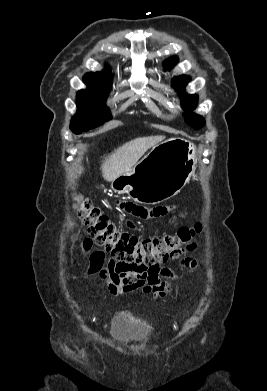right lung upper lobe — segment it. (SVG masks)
<instances>
[{
  "label": "right lung upper lobe",
  "instance_id": "cb5924a9",
  "mask_svg": "<svg viewBox=\"0 0 267 391\" xmlns=\"http://www.w3.org/2000/svg\"><path fill=\"white\" fill-rule=\"evenodd\" d=\"M83 80L84 83L88 86V89H92L100 93L107 94L111 89V77L108 71L104 73H87Z\"/></svg>",
  "mask_w": 267,
  "mask_h": 391
}]
</instances>
